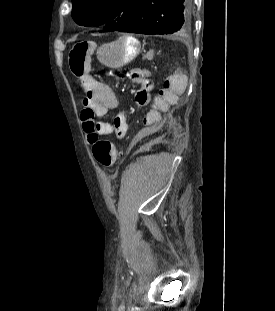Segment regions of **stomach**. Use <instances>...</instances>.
Wrapping results in <instances>:
<instances>
[{"mask_svg": "<svg viewBox=\"0 0 275 311\" xmlns=\"http://www.w3.org/2000/svg\"><path fill=\"white\" fill-rule=\"evenodd\" d=\"M139 41L123 36L114 42L101 45L97 50V59L109 68H121L133 61L140 53Z\"/></svg>", "mask_w": 275, "mask_h": 311, "instance_id": "0dacf381", "label": "stomach"}]
</instances>
